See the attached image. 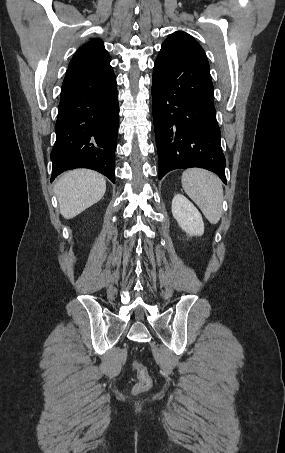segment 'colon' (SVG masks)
Wrapping results in <instances>:
<instances>
[{"mask_svg":"<svg viewBox=\"0 0 285 453\" xmlns=\"http://www.w3.org/2000/svg\"><path fill=\"white\" fill-rule=\"evenodd\" d=\"M133 369L137 375V382L134 385V392L141 393L148 390L152 384V379L147 368L140 362H133Z\"/></svg>","mask_w":285,"mask_h":453,"instance_id":"1","label":"colon"}]
</instances>
